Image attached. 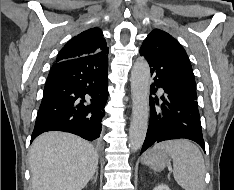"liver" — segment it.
<instances>
[{
    "mask_svg": "<svg viewBox=\"0 0 234 190\" xmlns=\"http://www.w3.org/2000/svg\"><path fill=\"white\" fill-rule=\"evenodd\" d=\"M33 190H82L98 166L94 147L63 132L37 137L29 153Z\"/></svg>",
    "mask_w": 234,
    "mask_h": 190,
    "instance_id": "obj_1",
    "label": "liver"
}]
</instances>
